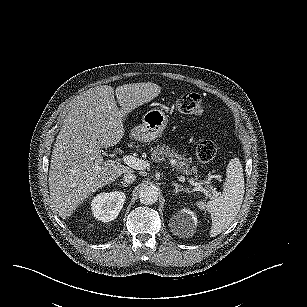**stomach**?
Returning a JSON list of instances; mask_svg holds the SVG:
<instances>
[{
	"label": "stomach",
	"mask_w": 307,
	"mask_h": 307,
	"mask_svg": "<svg viewBox=\"0 0 307 307\" xmlns=\"http://www.w3.org/2000/svg\"><path fill=\"white\" fill-rule=\"evenodd\" d=\"M168 124V117L160 109H151L142 117V123L130 131V138L148 143L160 137Z\"/></svg>",
	"instance_id": "0dacf381"
}]
</instances>
